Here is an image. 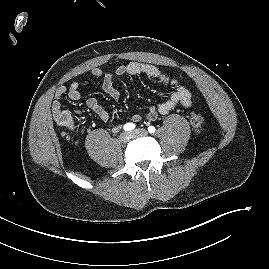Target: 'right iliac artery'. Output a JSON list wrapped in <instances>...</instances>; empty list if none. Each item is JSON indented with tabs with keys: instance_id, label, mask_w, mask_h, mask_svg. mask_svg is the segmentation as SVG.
I'll list each match as a JSON object with an SVG mask.
<instances>
[{
	"instance_id": "obj_1",
	"label": "right iliac artery",
	"mask_w": 269,
	"mask_h": 269,
	"mask_svg": "<svg viewBox=\"0 0 269 269\" xmlns=\"http://www.w3.org/2000/svg\"><path fill=\"white\" fill-rule=\"evenodd\" d=\"M134 128H135V124H133V123H127V124H125L124 127H123V129H124L125 131H131V130H133Z\"/></svg>"
}]
</instances>
